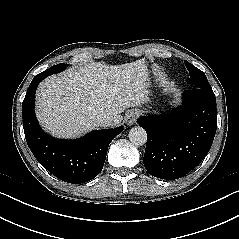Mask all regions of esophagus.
Instances as JSON below:
<instances>
[{"label": "esophagus", "mask_w": 239, "mask_h": 239, "mask_svg": "<svg viewBox=\"0 0 239 239\" xmlns=\"http://www.w3.org/2000/svg\"><path fill=\"white\" fill-rule=\"evenodd\" d=\"M138 114L136 111L131 110L129 112H127V114L124 117V122L128 125L131 126L133 125L136 120H137Z\"/></svg>", "instance_id": "obj_1"}]
</instances>
